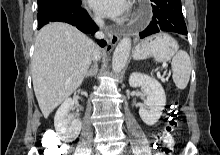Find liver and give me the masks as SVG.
<instances>
[{
  "mask_svg": "<svg viewBox=\"0 0 220 155\" xmlns=\"http://www.w3.org/2000/svg\"><path fill=\"white\" fill-rule=\"evenodd\" d=\"M94 51V42L69 24L50 23L39 31L32 81L44 118L82 84Z\"/></svg>",
  "mask_w": 220,
  "mask_h": 155,
  "instance_id": "obj_1",
  "label": "liver"
}]
</instances>
